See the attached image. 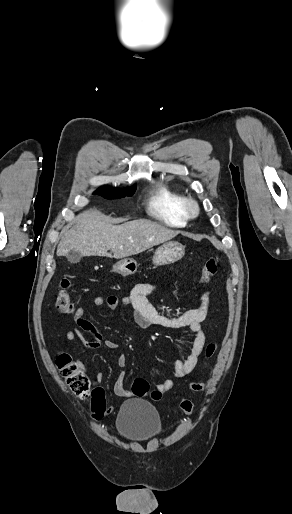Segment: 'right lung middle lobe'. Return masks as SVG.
Returning a JSON list of instances; mask_svg holds the SVG:
<instances>
[{"mask_svg": "<svg viewBox=\"0 0 292 514\" xmlns=\"http://www.w3.org/2000/svg\"><path fill=\"white\" fill-rule=\"evenodd\" d=\"M135 190H136V185L127 190H122V191L117 190L115 188L105 186V187H100L99 189L94 191L93 194L100 195L106 199H118V198H122L125 196H132L134 194Z\"/></svg>", "mask_w": 292, "mask_h": 514, "instance_id": "dd1d6c3e", "label": "right lung middle lobe"}]
</instances>
